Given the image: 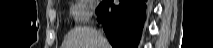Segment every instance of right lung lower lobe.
Returning <instances> with one entry per match:
<instances>
[{"label":"right lung lower lobe","instance_id":"obj_1","mask_svg":"<svg viewBox=\"0 0 213 48\" xmlns=\"http://www.w3.org/2000/svg\"><path fill=\"white\" fill-rule=\"evenodd\" d=\"M147 0H120L113 5L103 0L97 8V19L113 48H136L145 21Z\"/></svg>","mask_w":213,"mask_h":48}]
</instances>
